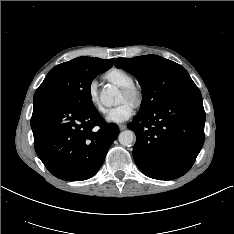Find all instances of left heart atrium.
Segmentation results:
<instances>
[{"label": "left heart atrium", "mask_w": 234, "mask_h": 234, "mask_svg": "<svg viewBox=\"0 0 234 234\" xmlns=\"http://www.w3.org/2000/svg\"><path fill=\"white\" fill-rule=\"evenodd\" d=\"M134 114V107L128 101H123L118 106L107 112L106 119L112 123H122L127 121Z\"/></svg>", "instance_id": "39dd6f15"}]
</instances>
